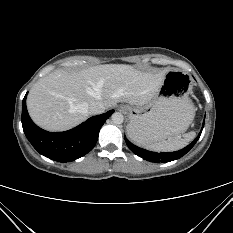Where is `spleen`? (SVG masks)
Segmentation results:
<instances>
[{"label": "spleen", "mask_w": 233, "mask_h": 233, "mask_svg": "<svg viewBox=\"0 0 233 233\" xmlns=\"http://www.w3.org/2000/svg\"><path fill=\"white\" fill-rule=\"evenodd\" d=\"M127 134L130 139L137 144L144 146L146 149L158 152H171L182 149L196 137V133L194 131H191L184 134L183 138L177 137L152 144H140L136 136L129 134L128 132Z\"/></svg>", "instance_id": "3e777b00"}]
</instances>
